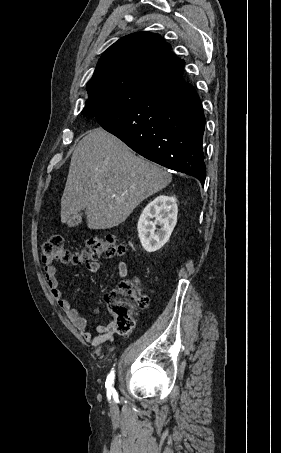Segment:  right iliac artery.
I'll list each match as a JSON object with an SVG mask.
<instances>
[{"instance_id":"82829eb1","label":"right iliac artery","mask_w":281,"mask_h":453,"mask_svg":"<svg viewBox=\"0 0 281 453\" xmlns=\"http://www.w3.org/2000/svg\"><path fill=\"white\" fill-rule=\"evenodd\" d=\"M114 370L110 372V374L107 376L106 382H105V387L107 388V391H113V383H114Z\"/></svg>"}]
</instances>
